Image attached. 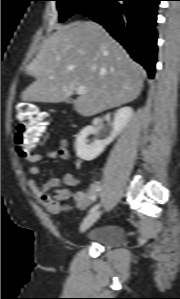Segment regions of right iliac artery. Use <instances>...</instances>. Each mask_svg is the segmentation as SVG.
Listing matches in <instances>:
<instances>
[{
    "label": "right iliac artery",
    "instance_id": "obj_1",
    "mask_svg": "<svg viewBox=\"0 0 180 299\" xmlns=\"http://www.w3.org/2000/svg\"><path fill=\"white\" fill-rule=\"evenodd\" d=\"M99 208V204L94 205L93 207H91V209L89 210V213H92L94 211H96Z\"/></svg>",
    "mask_w": 180,
    "mask_h": 299
}]
</instances>
